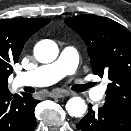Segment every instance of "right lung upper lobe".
<instances>
[{
    "mask_svg": "<svg viewBox=\"0 0 131 131\" xmlns=\"http://www.w3.org/2000/svg\"><path fill=\"white\" fill-rule=\"evenodd\" d=\"M49 22L48 18L0 20V89H5L2 84L7 83L26 41Z\"/></svg>",
    "mask_w": 131,
    "mask_h": 131,
    "instance_id": "right-lung-upper-lobe-1",
    "label": "right lung upper lobe"
}]
</instances>
